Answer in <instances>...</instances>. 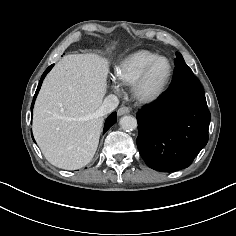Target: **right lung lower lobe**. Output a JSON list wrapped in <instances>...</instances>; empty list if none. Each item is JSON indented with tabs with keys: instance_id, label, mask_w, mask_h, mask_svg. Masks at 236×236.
<instances>
[{
	"instance_id": "98d812e1",
	"label": "right lung lower lobe",
	"mask_w": 236,
	"mask_h": 236,
	"mask_svg": "<svg viewBox=\"0 0 236 236\" xmlns=\"http://www.w3.org/2000/svg\"><path fill=\"white\" fill-rule=\"evenodd\" d=\"M53 65L49 66L45 72L43 73L41 79H40V82H39V85H38V88L36 90V93H35V96H34V99H33V102H32V105H31V110H33V105H34V101H35V98L39 92V89L42 85V82H43V79L45 78V76L47 75V73L52 69ZM117 120V117H116V112H113L106 120L105 122V125H104V130H103V134L116 122ZM33 138V136H32ZM34 140V139H33Z\"/></svg>"
}]
</instances>
